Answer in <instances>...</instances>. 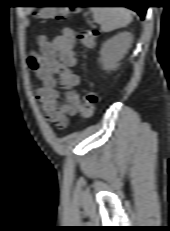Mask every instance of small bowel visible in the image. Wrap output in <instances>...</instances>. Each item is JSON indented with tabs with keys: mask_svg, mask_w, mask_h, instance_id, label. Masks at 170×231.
Masks as SVG:
<instances>
[{
	"mask_svg": "<svg viewBox=\"0 0 170 231\" xmlns=\"http://www.w3.org/2000/svg\"><path fill=\"white\" fill-rule=\"evenodd\" d=\"M39 53L30 54L27 64L42 81L36 96L41 103L45 118L59 128L68 124L80 106L77 87L81 76L74 71L77 64L75 54V32L64 28L62 33L52 39L39 37ZM58 87L65 89L61 95Z\"/></svg>",
	"mask_w": 170,
	"mask_h": 231,
	"instance_id": "c3829d8e",
	"label": "small bowel"
}]
</instances>
